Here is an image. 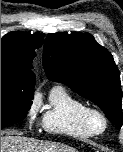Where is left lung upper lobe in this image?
I'll use <instances>...</instances> for the list:
<instances>
[{
  "label": "left lung upper lobe",
  "mask_w": 123,
  "mask_h": 152,
  "mask_svg": "<svg viewBox=\"0 0 123 152\" xmlns=\"http://www.w3.org/2000/svg\"><path fill=\"white\" fill-rule=\"evenodd\" d=\"M43 67L51 81L62 82L94 102L121 128L120 72L111 53L89 33L49 34L44 43Z\"/></svg>",
  "instance_id": "5c2ea615"
}]
</instances>
